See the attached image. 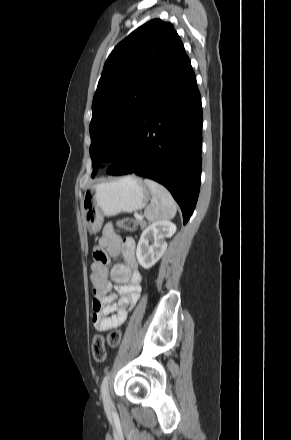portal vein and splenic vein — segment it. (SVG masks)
<instances>
[{
    "label": "portal vein and splenic vein",
    "mask_w": 291,
    "mask_h": 440,
    "mask_svg": "<svg viewBox=\"0 0 291 440\" xmlns=\"http://www.w3.org/2000/svg\"><path fill=\"white\" fill-rule=\"evenodd\" d=\"M136 219H143V216L139 215L138 213L134 214Z\"/></svg>",
    "instance_id": "portal-vein-and-splenic-vein-1"
}]
</instances>
